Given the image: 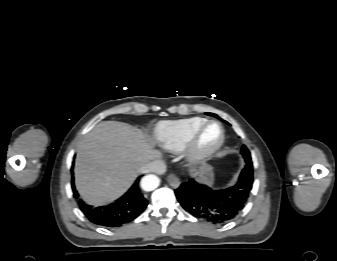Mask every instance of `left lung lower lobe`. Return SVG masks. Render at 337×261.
Returning a JSON list of instances; mask_svg holds the SVG:
<instances>
[{
	"instance_id": "0a47b994",
	"label": "left lung lower lobe",
	"mask_w": 337,
	"mask_h": 261,
	"mask_svg": "<svg viewBox=\"0 0 337 261\" xmlns=\"http://www.w3.org/2000/svg\"><path fill=\"white\" fill-rule=\"evenodd\" d=\"M253 184V170L243 169L233 187L212 190L190 179L175 190L182 207L196 218L222 224L231 221L245 207Z\"/></svg>"
}]
</instances>
